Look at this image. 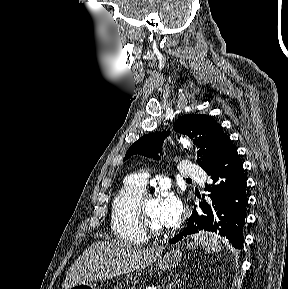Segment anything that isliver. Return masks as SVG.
Masks as SVG:
<instances>
[{
	"mask_svg": "<svg viewBox=\"0 0 288 289\" xmlns=\"http://www.w3.org/2000/svg\"><path fill=\"white\" fill-rule=\"evenodd\" d=\"M162 247L140 248L116 240L100 241L88 247L68 270L64 289L104 280L151 266Z\"/></svg>",
	"mask_w": 288,
	"mask_h": 289,
	"instance_id": "6515ba94",
	"label": "liver"
}]
</instances>
